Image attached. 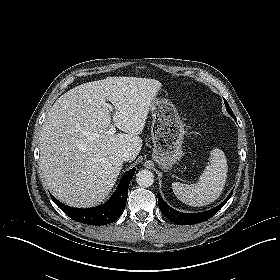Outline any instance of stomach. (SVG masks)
I'll use <instances>...</instances> for the list:
<instances>
[{"mask_svg":"<svg viewBox=\"0 0 280 280\" xmlns=\"http://www.w3.org/2000/svg\"><path fill=\"white\" fill-rule=\"evenodd\" d=\"M152 158L162 169H171L183 156L184 124L176 107L167 99H155L151 106Z\"/></svg>","mask_w":280,"mask_h":280,"instance_id":"0dacf381","label":"stomach"}]
</instances>
